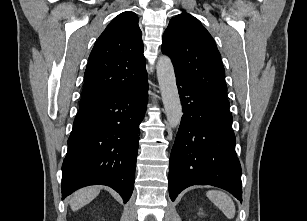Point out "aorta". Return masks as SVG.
I'll use <instances>...</instances> for the list:
<instances>
[{"label":"aorta","mask_w":307,"mask_h":221,"mask_svg":"<svg viewBox=\"0 0 307 221\" xmlns=\"http://www.w3.org/2000/svg\"><path fill=\"white\" fill-rule=\"evenodd\" d=\"M156 70L167 121L171 128H176L181 121L182 105L171 59L166 55L160 57Z\"/></svg>","instance_id":"1"}]
</instances>
